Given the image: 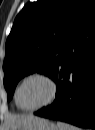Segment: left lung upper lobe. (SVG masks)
<instances>
[{
  "instance_id": "5c2ea615",
  "label": "left lung upper lobe",
  "mask_w": 95,
  "mask_h": 130,
  "mask_svg": "<svg viewBox=\"0 0 95 130\" xmlns=\"http://www.w3.org/2000/svg\"><path fill=\"white\" fill-rule=\"evenodd\" d=\"M95 13V0H38L17 15L6 41L3 63L8 100L18 81L33 72L49 77L81 22Z\"/></svg>"
}]
</instances>
